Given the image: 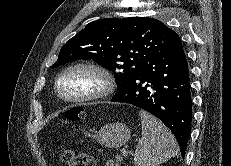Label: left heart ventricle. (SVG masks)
Masks as SVG:
<instances>
[{"label": "left heart ventricle", "mask_w": 231, "mask_h": 166, "mask_svg": "<svg viewBox=\"0 0 231 166\" xmlns=\"http://www.w3.org/2000/svg\"><path fill=\"white\" fill-rule=\"evenodd\" d=\"M100 80L87 70H74L67 73L59 83L60 91L65 96H80L98 89Z\"/></svg>", "instance_id": "1"}]
</instances>
